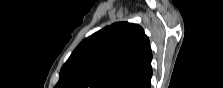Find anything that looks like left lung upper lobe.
I'll list each match as a JSON object with an SVG mask.
<instances>
[{
	"mask_svg": "<svg viewBox=\"0 0 223 88\" xmlns=\"http://www.w3.org/2000/svg\"><path fill=\"white\" fill-rule=\"evenodd\" d=\"M152 53L137 24L115 23L84 39L55 88H134L152 73Z\"/></svg>",
	"mask_w": 223,
	"mask_h": 88,
	"instance_id": "left-lung-upper-lobe-1",
	"label": "left lung upper lobe"
}]
</instances>
